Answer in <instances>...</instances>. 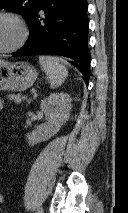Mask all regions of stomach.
Returning <instances> with one entry per match:
<instances>
[{"instance_id": "obj_1", "label": "stomach", "mask_w": 128, "mask_h": 213, "mask_svg": "<svg viewBox=\"0 0 128 213\" xmlns=\"http://www.w3.org/2000/svg\"><path fill=\"white\" fill-rule=\"evenodd\" d=\"M38 73L28 62L0 60V90L24 91L36 81Z\"/></svg>"}]
</instances>
